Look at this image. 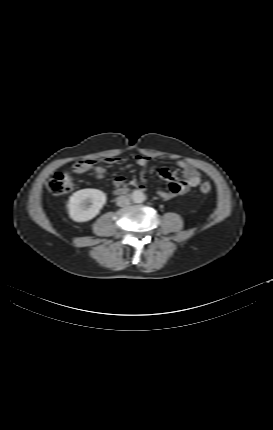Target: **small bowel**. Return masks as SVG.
Wrapping results in <instances>:
<instances>
[{
    "label": "small bowel",
    "mask_w": 273,
    "mask_h": 430,
    "mask_svg": "<svg viewBox=\"0 0 273 430\" xmlns=\"http://www.w3.org/2000/svg\"><path fill=\"white\" fill-rule=\"evenodd\" d=\"M118 158L116 157H108L104 160L101 159H91V160H80L73 165V170L77 174H81L85 172L88 168L95 166L96 167V178L102 179L105 177V171L101 167V163L105 162L107 164H115L118 162ZM150 162V158L144 155L136 156V163L139 168L144 169L148 163ZM178 167L181 169L184 179H179L176 176L174 171H171L168 168H162L159 170V175L168 182L167 190H158L157 195L164 199L169 200L176 196L185 194L190 189L197 187L201 182V173L198 169H196L191 164L179 160L177 162ZM125 182V178L121 175H118L114 179V184L116 186H121ZM140 188H145V184L141 182L139 184Z\"/></svg>",
    "instance_id": "1"
}]
</instances>
